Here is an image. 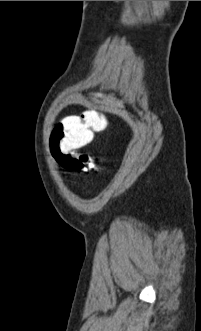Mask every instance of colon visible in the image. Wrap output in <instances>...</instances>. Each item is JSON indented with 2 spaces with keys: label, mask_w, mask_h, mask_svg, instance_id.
Listing matches in <instances>:
<instances>
[{
  "label": "colon",
  "mask_w": 201,
  "mask_h": 331,
  "mask_svg": "<svg viewBox=\"0 0 201 331\" xmlns=\"http://www.w3.org/2000/svg\"><path fill=\"white\" fill-rule=\"evenodd\" d=\"M106 117L97 111L81 116H68L60 120L51 133L50 148L58 163L71 172H85L94 167L89 155L76 154L72 150L89 144L95 132L106 130Z\"/></svg>",
  "instance_id": "obj_1"
}]
</instances>
